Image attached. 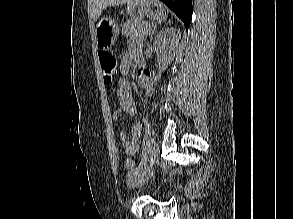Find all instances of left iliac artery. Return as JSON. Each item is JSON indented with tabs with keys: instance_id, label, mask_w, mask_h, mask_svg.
<instances>
[{
	"instance_id": "44dca946",
	"label": "left iliac artery",
	"mask_w": 293,
	"mask_h": 219,
	"mask_svg": "<svg viewBox=\"0 0 293 219\" xmlns=\"http://www.w3.org/2000/svg\"><path fill=\"white\" fill-rule=\"evenodd\" d=\"M151 157V123L149 114L145 116V141L143 144V156L141 164H145Z\"/></svg>"
}]
</instances>
